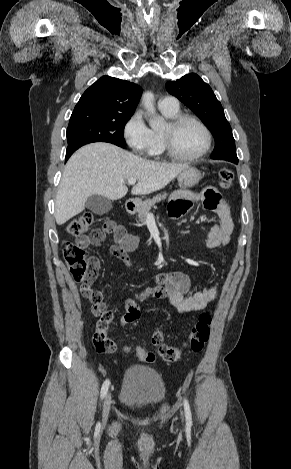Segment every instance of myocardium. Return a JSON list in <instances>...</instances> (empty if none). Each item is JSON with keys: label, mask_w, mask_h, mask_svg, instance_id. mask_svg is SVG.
Here are the masks:
<instances>
[{"label": "myocardium", "mask_w": 291, "mask_h": 469, "mask_svg": "<svg viewBox=\"0 0 291 469\" xmlns=\"http://www.w3.org/2000/svg\"><path fill=\"white\" fill-rule=\"evenodd\" d=\"M186 121H192L196 123L201 128L205 136V143L202 150L198 154L189 157L178 154L174 149L172 142V132ZM167 126L168 130L162 131L161 137L164 151L170 158L179 162H195L203 158L210 150L212 144V134L206 124L198 117L191 114H178L170 119Z\"/></svg>", "instance_id": "f54148a6"}]
</instances>
